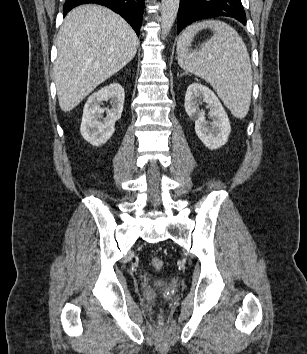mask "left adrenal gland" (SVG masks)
<instances>
[{
	"label": "left adrenal gland",
	"mask_w": 307,
	"mask_h": 354,
	"mask_svg": "<svg viewBox=\"0 0 307 354\" xmlns=\"http://www.w3.org/2000/svg\"><path fill=\"white\" fill-rule=\"evenodd\" d=\"M186 73H182L181 76L185 75Z\"/></svg>",
	"instance_id": "left-adrenal-gland-1"
}]
</instances>
